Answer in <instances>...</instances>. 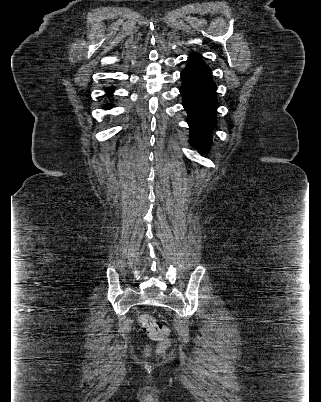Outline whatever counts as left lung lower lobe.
<instances>
[{"label":"left lung lower lobe","instance_id":"obj_1","mask_svg":"<svg viewBox=\"0 0 321 402\" xmlns=\"http://www.w3.org/2000/svg\"><path fill=\"white\" fill-rule=\"evenodd\" d=\"M182 86L180 93L183 106L188 113L190 144L197 149L207 150L212 129L216 125V84L212 79L211 69L204 63L201 55L192 53L181 72Z\"/></svg>","mask_w":321,"mask_h":402}]
</instances>
